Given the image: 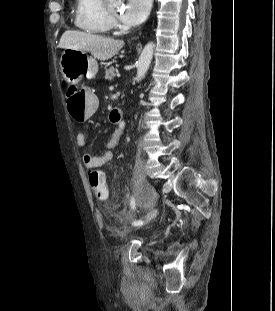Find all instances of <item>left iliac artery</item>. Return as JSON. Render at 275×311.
<instances>
[{
  "label": "left iliac artery",
  "mask_w": 275,
  "mask_h": 311,
  "mask_svg": "<svg viewBox=\"0 0 275 311\" xmlns=\"http://www.w3.org/2000/svg\"><path fill=\"white\" fill-rule=\"evenodd\" d=\"M130 206H131V208H132L133 210L136 209V203H135V198H134V197L131 198ZM140 224H142V221H141V220H138V221L135 220V221L132 222V225H134V226H137V225H140Z\"/></svg>",
  "instance_id": "44dca946"
}]
</instances>
